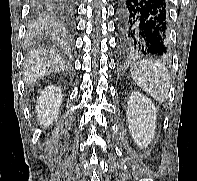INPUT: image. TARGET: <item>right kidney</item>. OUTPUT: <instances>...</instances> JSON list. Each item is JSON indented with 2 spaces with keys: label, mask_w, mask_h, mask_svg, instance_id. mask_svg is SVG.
Returning a JSON list of instances; mask_svg holds the SVG:
<instances>
[{
  "label": "right kidney",
  "mask_w": 197,
  "mask_h": 181,
  "mask_svg": "<svg viewBox=\"0 0 197 181\" xmlns=\"http://www.w3.org/2000/svg\"><path fill=\"white\" fill-rule=\"evenodd\" d=\"M62 89L53 85L47 86L37 100L36 110L40 125L49 127L59 114L62 103Z\"/></svg>",
  "instance_id": "right-kidney-1"
}]
</instances>
